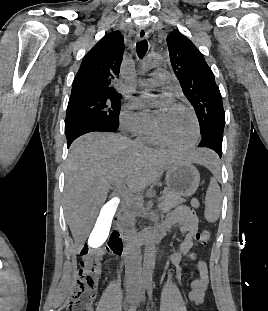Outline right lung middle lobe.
I'll return each instance as SVG.
<instances>
[{"label":"right lung middle lobe","mask_w":268,"mask_h":311,"mask_svg":"<svg viewBox=\"0 0 268 311\" xmlns=\"http://www.w3.org/2000/svg\"><path fill=\"white\" fill-rule=\"evenodd\" d=\"M121 94L94 91H71L65 127L85 119L108 126H119Z\"/></svg>","instance_id":"obj_1"}]
</instances>
